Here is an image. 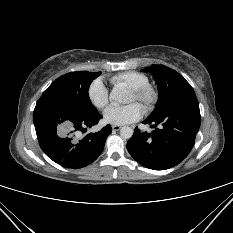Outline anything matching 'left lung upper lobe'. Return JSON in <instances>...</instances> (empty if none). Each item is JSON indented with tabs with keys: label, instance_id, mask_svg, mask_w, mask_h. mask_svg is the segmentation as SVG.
Here are the masks:
<instances>
[{
	"label": "left lung upper lobe",
	"instance_id": "obj_1",
	"mask_svg": "<svg viewBox=\"0 0 233 233\" xmlns=\"http://www.w3.org/2000/svg\"><path fill=\"white\" fill-rule=\"evenodd\" d=\"M142 71L152 72L159 91L156 107L148 117L150 119L163 115L181 93L191 87L182 75L164 65H152Z\"/></svg>",
	"mask_w": 233,
	"mask_h": 233
}]
</instances>
